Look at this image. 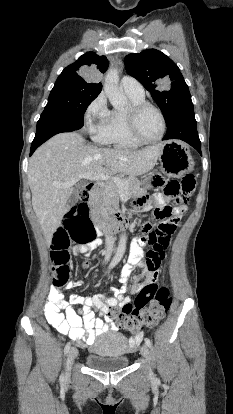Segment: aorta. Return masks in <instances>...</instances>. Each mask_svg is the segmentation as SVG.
Instances as JSON below:
<instances>
[{
  "instance_id": "762f6f07",
  "label": "aorta",
  "mask_w": 233,
  "mask_h": 414,
  "mask_svg": "<svg viewBox=\"0 0 233 414\" xmlns=\"http://www.w3.org/2000/svg\"><path fill=\"white\" fill-rule=\"evenodd\" d=\"M103 88L106 96L114 108H122L127 105V97L119 88V71L117 69L113 68L107 72ZM126 241L127 236L124 233L120 238L116 254L114 256L115 261H120L122 259L126 249Z\"/></svg>"
}]
</instances>
